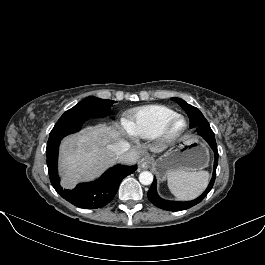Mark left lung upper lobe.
<instances>
[{
  "label": "left lung upper lobe",
  "instance_id": "1",
  "mask_svg": "<svg viewBox=\"0 0 265 265\" xmlns=\"http://www.w3.org/2000/svg\"><path fill=\"white\" fill-rule=\"evenodd\" d=\"M172 100L178 103L182 107V109L187 113L190 119L191 128H194L200 124H208V121L205 119L199 109L190 104H187L184 100L180 98H172Z\"/></svg>",
  "mask_w": 265,
  "mask_h": 265
}]
</instances>
